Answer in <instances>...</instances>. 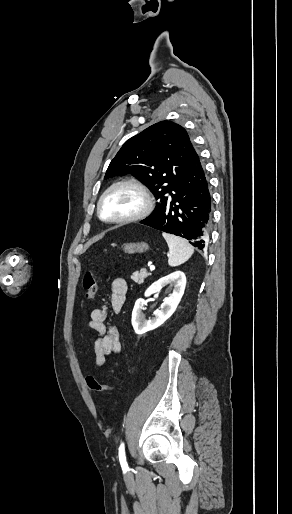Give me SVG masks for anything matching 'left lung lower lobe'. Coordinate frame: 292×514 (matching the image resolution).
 I'll list each match as a JSON object with an SVG mask.
<instances>
[{
    "instance_id": "left-lung-lower-lobe-1",
    "label": "left lung lower lobe",
    "mask_w": 292,
    "mask_h": 514,
    "mask_svg": "<svg viewBox=\"0 0 292 514\" xmlns=\"http://www.w3.org/2000/svg\"><path fill=\"white\" fill-rule=\"evenodd\" d=\"M212 219V199L201 160L193 147L190 164L172 190L159 202L154 216L140 223L186 238L203 249L208 242Z\"/></svg>"
}]
</instances>
